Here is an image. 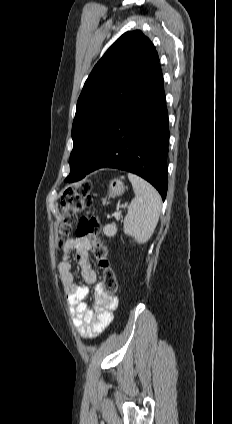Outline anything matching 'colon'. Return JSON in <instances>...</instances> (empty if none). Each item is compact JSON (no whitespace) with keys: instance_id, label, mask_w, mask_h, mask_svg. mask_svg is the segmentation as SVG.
Instances as JSON below:
<instances>
[{"instance_id":"1","label":"colon","mask_w":232,"mask_h":424,"mask_svg":"<svg viewBox=\"0 0 232 424\" xmlns=\"http://www.w3.org/2000/svg\"><path fill=\"white\" fill-rule=\"evenodd\" d=\"M90 193V182H85L77 188H67L64 191L58 233L62 240L70 235L74 227H76V237L89 240L92 255L97 260V266L103 273V290L106 294L111 295L117 291L118 283L116 273L108 257L107 248L99 237V220L93 215H83L78 219L79 214L83 213L92 204Z\"/></svg>"}]
</instances>
